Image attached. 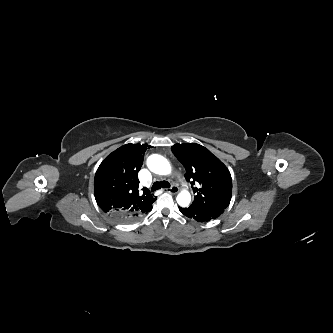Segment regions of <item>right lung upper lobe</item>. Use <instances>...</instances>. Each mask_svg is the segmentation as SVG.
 Wrapping results in <instances>:
<instances>
[{
  "label": "right lung upper lobe",
  "mask_w": 333,
  "mask_h": 333,
  "mask_svg": "<svg viewBox=\"0 0 333 333\" xmlns=\"http://www.w3.org/2000/svg\"><path fill=\"white\" fill-rule=\"evenodd\" d=\"M147 144H126L108 155L98 167L94 194L98 206L108 215L138 213L156 200L148 190L139 194L138 172Z\"/></svg>",
  "instance_id": "1"
}]
</instances>
